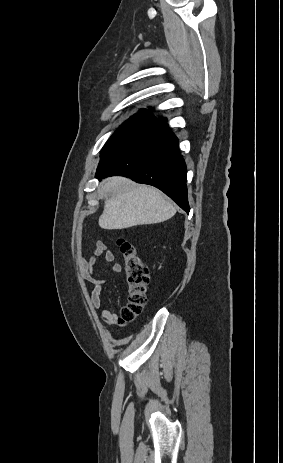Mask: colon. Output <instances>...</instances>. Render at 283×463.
<instances>
[{"instance_id":"1","label":"colon","mask_w":283,"mask_h":463,"mask_svg":"<svg viewBox=\"0 0 283 463\" xmlns=\"http://www.w3.org/2000/svg\"><path fill=\"white\" fill-rule=\"evenodd\" d=\"M117 245L124 260L128 301L121 309L117 322L121 325L136 319L142 312L149 292V271L137 248L125 238H119Z\"/></svg>"}]
</instances>
